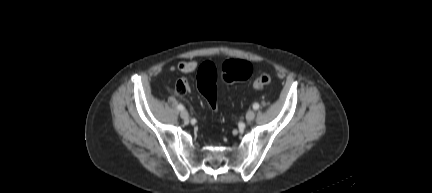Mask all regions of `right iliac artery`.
Wrapping results in <instances>:
<instances>
[{
  "mask_svg": "<svg viewBox=\"0 0 432 193\" xmlns=\"http://www.w3.org/2000/svg\"><path fill=\"white\" fill-rule=\"evenodd\" d=\"M177 108H178L180 111L184 110V106H183L182 104H179V105L177 106Z\"/></svg>",
  "mask_w": 432,
  "mask_h": 193,
  "instance_id": "right-iliac-artery-1",
  "label": "right iliac artery"
}]
</instances>
